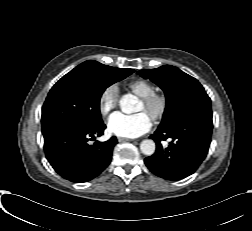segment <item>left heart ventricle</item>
<instances>
[{"instance_id":"b2bd125f","label":"left heart ventricle","mask_w":252,"mask_h":231,"mask_svg":"<svg viewBox=\"0 0 252 231\" xmlns=\"http://www.w3.org/2000/svg\"><path fill=\"white\" fill-rule=\"evenodd\" d=\"M137 111H145L144 105L141 102Z\"/></svg>"}]
</instances>
